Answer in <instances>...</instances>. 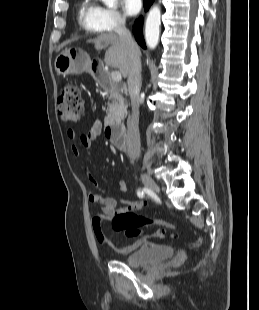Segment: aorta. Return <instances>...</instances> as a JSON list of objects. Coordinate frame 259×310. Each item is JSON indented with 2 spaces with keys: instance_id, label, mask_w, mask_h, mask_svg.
Returning <instances> with one entry per match:
<instances>
[{
  "instance_id": "762f6f07",
  "label": "aorta",
  "mask_w": 259,
  "mask_h": 310,
  "mask_svg": "<svg viewBox=\"0 0 259 310\" xmlns=\"http://www.w3.org/2000/svg\"><path fill=\"white\" fill-rule=\"evenodd\" d=\"M107 7L115 6L116 0H101ZM161 11L154 6L148 13L145 25V40L149 48L154 49L159 41Z\"/></svg>"
}]
</instances>
